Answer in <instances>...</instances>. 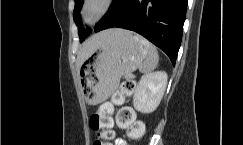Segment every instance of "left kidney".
<instances>
[{
	"instance_id": "5707ae66",
	"label": "left kidney",
	"mask_w": 243,
	"mask_h": 145,
	"mask_svg": "<svg viewBox=\"0 0 243 145\" xmlns=\"http://www.w3.org/2000/svg\"><path fill=\"white\" fill-rule=\"evenodd\" d=\"M168 76L164 71L143 75L135 88L133 106L142 113L155 111L164 95Z\"/></svg>"
}]
</instances>
